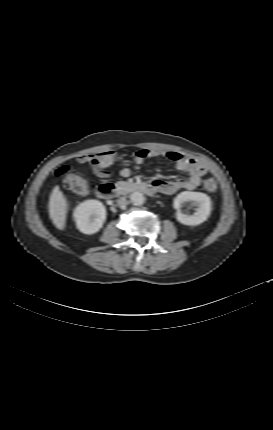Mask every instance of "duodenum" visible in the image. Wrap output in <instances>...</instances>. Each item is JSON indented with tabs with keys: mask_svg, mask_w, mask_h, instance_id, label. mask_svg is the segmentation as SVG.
Here are the masks:
<instances>
[{
	"mask_svg": "<svg viewBox=\"0 0 273 430\" xmlns=\"http://www.w3.org/2000/svg\"><path fill=\"white\" fill-rule=\"evenodd\" d=\"M134 191L143 192L146 194H154L157 192V189L154 184H134L132 186ZM116 192V188L111 183H103L97 186L96 194L99 198L102 199H110Z\"/></svg>",
	"mask_w": 273,
	"mask_h": 430,
	"instance_id": "1",
	"label": "duodenum"
}]
</instances>
